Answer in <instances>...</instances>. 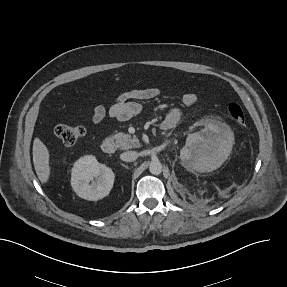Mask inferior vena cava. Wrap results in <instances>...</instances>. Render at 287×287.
Instances as JSON below:
<instances>
[{
	"label": "inferior vena cava",
	"mask_w": 287,
	"mask_h": 287,
	"mask_svg": "<svg viewBox=\"0 0 287 287\" xmlns=\"http://www.w3.org/2000/svg\"><path fill=\"white\" fill-rule=\"evenodd\" d=\"M138 158L136 151H127L121 154V159L126 162H132Z\"/></svg>",
	"instance_id": "602c4592"
}]
</instances>
